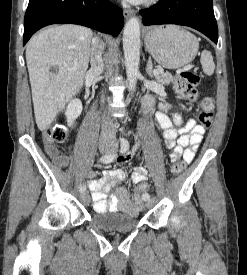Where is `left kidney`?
I'll return each instance as SVG.
<instances>
[{
    "label": "left kidney",
    "mask_w": 247,
    "mask_h": 275,
    "mask_svg": "<svg viewBox=\"0 0 247 275\" xmlns=\"http://www.w3.org/2000/svg\"><path fill=\"white\" fill-rule=\"evenodd\" d=\"M173 122L176 126H180L182 124V117L178 113L173 114Z\"/></svg>",
    "instance_id": "left-kidney-1"
}]
</instances>
